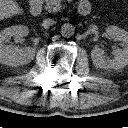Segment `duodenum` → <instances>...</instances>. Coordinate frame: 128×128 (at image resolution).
Instances as JSON below:
<instances>
[{
	"label": "duodenum",
	"instance_id": "obj_1",
	"mask_svg": "<svg viewBox=\"0 0 128 128\" xmlns=\"http://www.w3.org/2000/svg\"><path fill=\"white\" fill-rule=\"evenodd\" d=\"M90 4L86 2H80L78 6V12L81 15H88L90 13ZM42 11V0H30V13L33 16H38Z\"/></svg>",
	"mask_w": 128,
	"mask_h": 128
}]
</instances>
